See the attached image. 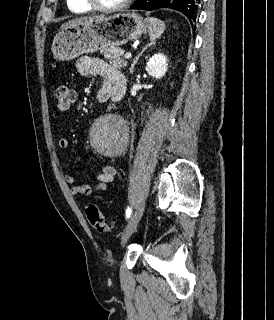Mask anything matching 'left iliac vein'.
<instances>
[{"mask_svg": "<svg viewBox=\"0 0 274 320\" xmlns=\"http://www.w3.org/2000/svg\"><path fill=\"white\" fill-rule=\"evenodd\" d=\"M145 209V204L142 202L141 204L138 205L136 210L133 212L132 216L130 217L124 231L121 237V243L122 245H125L134 230L136 229L142 215Z\"/></svg>", "mask_w": 274, "mask_h": 320, "instance_id": "left-iliac-vein-1", "label": "left iliac vein"}]
</instances>
